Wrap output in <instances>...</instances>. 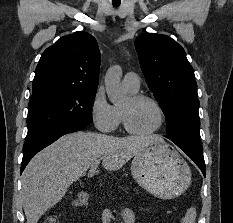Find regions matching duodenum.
<instances>
[{"label":"duodenum","instance_id":"duodenum-1","mask_svg":"<svg viewBox=\"0 0 233 223\" xmlns=\"http://www.w3.org/2000/svg\"><path fill=\"white\" fill-rule=\"evenodd\" d=\"M89 194L87 192H80L73 201V206H83L88 202Z\"/></svg>","mask_w":233,"mask_h":223}]
</instances>
